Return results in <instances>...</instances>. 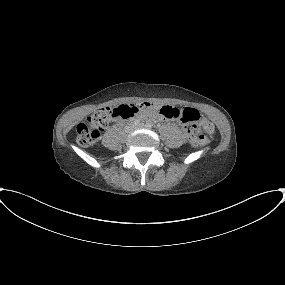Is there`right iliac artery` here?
<instances>
[{"label": "right iliac artery", "instance_id": "obj_1", "mask_svg": "<svg viewBox=\"0 0 285 285\" xmlns=\"http://www.w3.org/2000/svg\"><path fill=\"white\" fill-rule=\"evenodd\" d=\"M135 125L139 124V121L134 122Z\"/></svg>", "mask_w": 285, "mask_h": 285}]
</instances>
